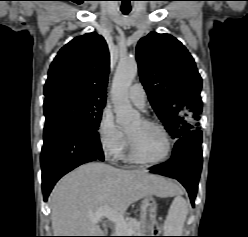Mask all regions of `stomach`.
I'll use <instances>...</instances> for the list:
<instances>
[{"label": "stomach", "instance_id": "1", "mask_svg": "<svg viewBox=\"0 0 248 237\" xmlns=\"http://www.w3.org/2000/svg\"><path fill=\"white\" fill-rule=\"evenodd\" d=\"M171 190L165 192L160 197L171 195ZM157 213V203L152 196H146L142 200L140 216L143 221L144 231H152L154 220Z\"/></svg>", "mask_w": 248, "mask_h": 237}]
</instances>
